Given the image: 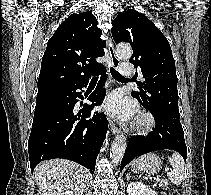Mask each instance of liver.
Returning a JSON list of instances; mask_svg holds the SVG:
<instances>
[{"label":"liver","instance_id":"obj_1","mask_svg":"<svg viewBox=\"0 0 211 195\" xmlns=\"http://www.w3.org/2000/svg\"><path fill=\"white\" fill-rule=\"evenodd\" d=\"M34 175L40 195H82L89 181L86 168L64 159L39 163Z\"/></svg>","mask_w":211,"mask_h":195}]
</instances>
